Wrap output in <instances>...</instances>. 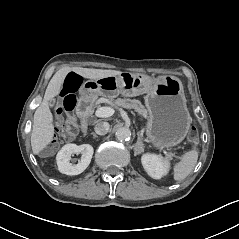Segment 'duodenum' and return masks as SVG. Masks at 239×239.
Here are the masks:
<instances>
[{
  "instance_id": "1",
  "label": "duodenum",
  "mask_w": 239,
  "mask_h": 239,
  "mask_svg": "<svg viewBox=\"0 0 239 239\" xmlns=\"http://www.w3.org/2000/svg\"><path fill=\"white\" fill-rule=\"evenodd\" d=\"M77 114L81 120V129L86 132L89 127L90 116L92 113V102L88 97H82L76 108Z\"/></svg>"
}]
</instances>
